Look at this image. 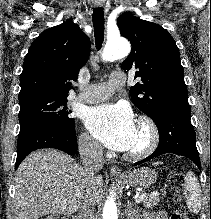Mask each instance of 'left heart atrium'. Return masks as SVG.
<instances>
[{
  "instance_id": "obj_1",
  "label": "left heart atrium",
  "mask_w": 211,
  "mask_h": 219,
  "mask_svg": "<svg viewBox=\"0 0 211 219\" xmlns=\"http://www.w3.org/2000/svg\"><path fill=\"white\" fill-rule=\"evenodd\" d=\"M85 124L94 137L115 151L130 150L136 139L133 114L122 104H105L88 110Z\"/></svg>"
}]
</instances>
